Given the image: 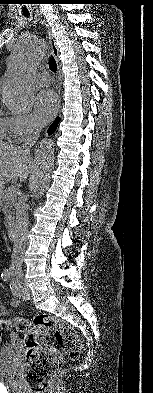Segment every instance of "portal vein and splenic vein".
<instances>
[{"instance_id":"18ae733b","label":"portal vein and splenic vein","mask_w":153,"mask_h":393,"mask_svg":"<svg viewBox=\"0 0 153 393\" xmlns=\"http://www.w3.org/2000/svg\"><path fill=\"white\" fill-rule=\"evenodd\" d=\"M19 188L17 186H12L10 189V192H17L18 193Z\"/></svg>"}]
</instances>
